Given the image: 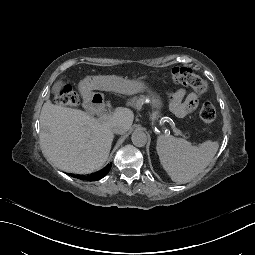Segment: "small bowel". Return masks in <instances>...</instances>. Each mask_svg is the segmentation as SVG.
Segmentation results:
<instances>
[{"label":"small bowel","mask_w":255,"mask_h":255,"mask_svg":"<svg viewBox=\"0 0 255 255\" xmlns=\"http://www.w3.org/2000/svg\"><path fill=\"white\" fill-rule=\"evenodd\" d=\"M177 98H185L184 102L175 110L179 116H184L192 112L198 106V97L194 93L187 94L186 91L181 90L177 93Z\"/></svg>","instance_id":"small-bowel-1"}]
</instances>
